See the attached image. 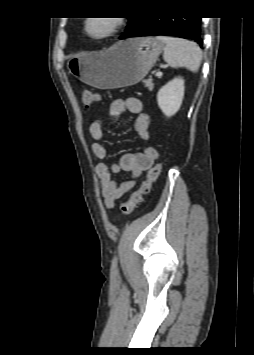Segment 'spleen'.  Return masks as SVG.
Listing matches in <instances>:
<instances>
[{"mask_svg":"<svg viewBox=\"0 0 254 355\" xmlns=\"http://www.w3.org/2000/svg\"><path fill=\"white\" fill-rule=\"evenodd\" d=\"M157 39L165 44L163 59L169 66L185 67L192 72L198 71L202 51L196 43L167 36H157Z\"/></svg>","mask_w":254,"mask_h":355,"instance_id":"1","label":"spleen"}]
</instances>
